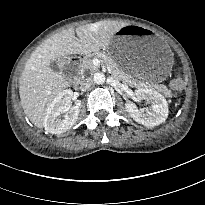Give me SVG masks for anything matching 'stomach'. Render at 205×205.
Listing matches in <instances>:
<instances>
[{
  "label": "stomach",
  "mask_w": 205,
  "mask_h": 205,
  "mask_svg": "<svg viewBox=\"0 0 205 205\" xmlns=\"http://www.w3.org/2000/svg\"><path fill=\"white\" fill-rule=\"evenodd\" d=\"M103 51L138 82L163 81L174 62L172 51L162 37L150 28L135 24L118 29Z\"/></svg>",
  "instance_id": "0dacf381"
}]
</instances>
